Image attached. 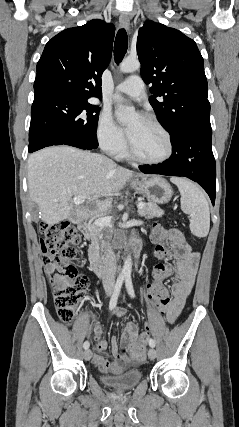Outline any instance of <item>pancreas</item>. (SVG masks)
Wrapping results in <instances>:
<instances>
[{
  "mask_svg": "<svg viewBox=\"0 0 239 427\" xmlns=\"http://www.w3.org/2000/svg\"><path fill=\"white\" fill-rule=\"evenodd\" d=\"M139 216L151 219L154 217H161L164 214V211L157 206V204L149 202L146 203L142 209L138 211ZM112 234V228H100L94 227V236L92 242L98 250H102L104 246L103 236H110Z\"/></svg>",
  "mask_w": 239,
  "mask_h": 427,
  "instance_id": "pancreas-1",
  "label": "pancreas"
}]
</instances>
